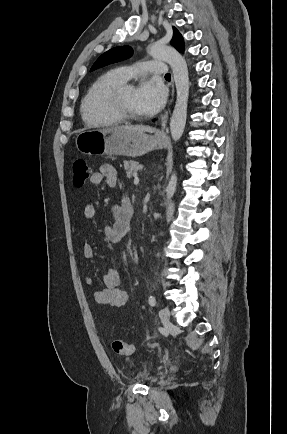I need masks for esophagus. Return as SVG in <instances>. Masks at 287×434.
Instances as JSON below:
<instances>
[{
	"instance_id": "1",
	"label": "esophagus",
	"mask_w": 287,
	"mask_h": 434,
	"mask_svg": "<svg viewBox=\"0 0 287 434\" xmlns=\"http://www.w3.org/2000/svg\"><path fill=\"white\" fill-rule=\"evenodd\" d=\"M173 93H174V87L172 85V95H173ZM167 118H168V111L164 112V114H162V116H161L162 132L159 133V136L161 135V133L164 132V130L166 128Z\"/></svg>"
}]
</instances>
